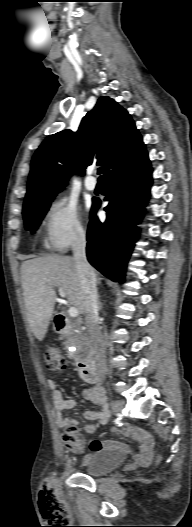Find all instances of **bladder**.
I'll return each instance as SVG.
<instances>
[{
	"instance_id": "obj_1",
	"label": "bladder",
	"mask_w": 192,
	"mask_h": 527,
	"mask_svg": "<svg viewBox=\"0 0 192 527\" xmlns=\"http://www.w3.org/2000/svg\"><path fill=\"white\" fill-rule=\"evenodd\" d=\"M125 460V454L115 448H102L92 451L84 457L80 463L82 472L91 477L107 475L118 467Z\"/></svg>"
}]
</instances>
